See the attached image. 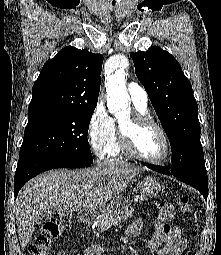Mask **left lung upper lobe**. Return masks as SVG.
Returning <instances> with one entry per match:
<instances>
[{
    "label": "left lung upper lobe",
    "instance_id": "obj_1",
    "mask_svg": "<svg viewBox=\"0 0 221 255\" xmlns=\"http://www.w3.org/2000/svg\"><path fill=\"white\" fill-rule=\"evenodd\" d=\"M130 56L170 141L172 174L206 170L197 102L178 61L156 46Z\"/></svg>",
    "mask_w": 221,
    "mask_h": 255
}]
</instances>
